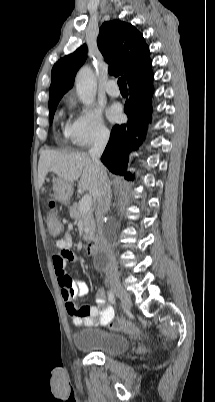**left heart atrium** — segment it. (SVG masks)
<instances>
[{
    "label": "left heart atrium",
    "instance_id": "1",
    "mask_svg": "<svg viewBox=\"0 0 215 402\" xmlns=\"http://www.w3.org/2000/svg\"><path fill=\"white\" fill-rule=\"evenodd\" d=\"M122 111L118 104L111 106L107 112V116L111 121H118L121 118Z\"/></svg>",
    "mask_w": 215,
    "mask_h": 402
}]
</instances>
